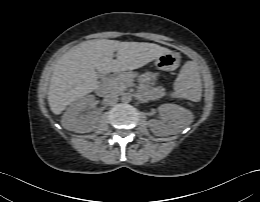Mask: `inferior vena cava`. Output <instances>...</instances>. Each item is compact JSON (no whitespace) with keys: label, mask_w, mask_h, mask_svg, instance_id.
<instances>
[{"label":"inferior vena cava","mask_w":260,"mask_h":202,"mask_svg":"<svg viewBox=\"0 0 260 202\" xmlns=\"http://www.w3.org/2000/svg\"><path fill=\"white\" fill-rule=\"evenodd\" d=\"M118 101V95L116 93H108L104 96V102L107 105L115 104Z\"/></svg>","instance_id":"obj_1"}]
</instances>
